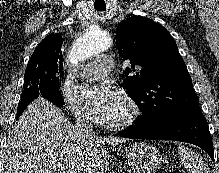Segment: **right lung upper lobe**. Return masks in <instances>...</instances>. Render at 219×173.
Wrapping results in <instances>:
<instances>
[{
    "label": "right lung upper lobe",
    "mask_w": 219,
    "mask_h": 173,
    "mask_svg": "<svg viewBox=\"0 0 219 173\" xmlns=\"http://www.w3.org/2000/svg\"><path fill=\"white\" fill-rule=\"evenodd\" d=\"M62 42V36L58 33L46 36L34 50L28 64L40 66L56 65L62 70Z\"/></svg>",
    "instance_id": "cb5924a9"
}]
</instances>
